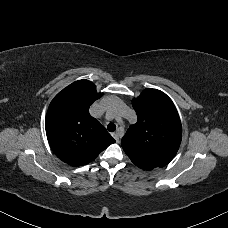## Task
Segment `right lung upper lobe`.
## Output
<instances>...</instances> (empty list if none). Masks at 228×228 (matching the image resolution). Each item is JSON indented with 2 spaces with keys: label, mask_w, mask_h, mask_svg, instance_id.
<instances>
[{
  "label": "right lung upper lobe",
  "mask_w": 228,
  "mask_h": 228,
  "mask_svg": "<svg viewBox=\"0 0 228 228\" xmlns=\"http://www.w3.org/2000/svg\"><path fill=\"white\" fill-rule=\"evenodd\" d=\"M97 93L91 81H76L59 92L49 105L45 128L56 156L72 166L93 161L114 138L89 114Z\"/></svg>",
  "instance_id": "right-lung-upper-lobe-1"
}]
</instances>
